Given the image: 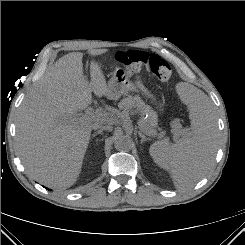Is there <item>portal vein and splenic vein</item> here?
Returning a JSON list of instances; mask_svg holds the SVG:
<instances>
[{
  "label": "portal vein and splenic vein",
  "mask_w": 245,
  "mask_h": 245,
  "mask_svg": "<svg viewBox=\"0 0 245 245\" xmlns=\"http://www.w3.org/2000/svg\"><path fill=\"white\" fill-rule=\"evenodd\" d=\"M84 117L89 120H101L105 117V114L99 111L94 112L93 108L89 107L86 109ZM138 125L142 130H145L148 134H150L149 130L145 126V122L143 119L138 121ZM180 131L176 135H179Z\"/></svg>",
  "instance_id": "1"
}]
</instances>
